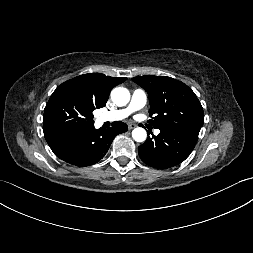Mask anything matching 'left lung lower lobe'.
Segmentation results:
<instances>
[{"mask_svg": "<svg viewBox=\"0 0 253 253\" xmlns=\"http://www.w3.org/2000/svg\"><path fill=\"white\" fill-rule=\"evenodd\" d=\"M198 132L160 129L157 136H148L138 147L141 160L147 165L167 169L184 161L198 140Z\"/></svg>", "mask_w": 253, "mask_h": 253, "instance_id": "left-lung-lower-lobe-1", "label": "left lung lower lobe"}]
</instances>
